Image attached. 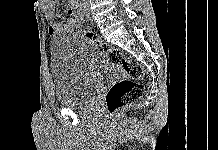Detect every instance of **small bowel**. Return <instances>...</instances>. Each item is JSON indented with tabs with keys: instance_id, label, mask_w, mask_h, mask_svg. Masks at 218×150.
Returning <instances> with one entry per match:
<instances>
[{
	"instance_id": "small-bowel-1",
	"label": "small bowel",
	"mask_w": 218,
	"mask_h": 150,
	"mask_svg": "<svg viewBox=\"0 0 218 150\" xmlns=\"http://www.w3.org/2000/svg\"><path fill=\"white\" fill-rule=\"evenodd\" d=\"M42 9L44 15L47 19L51 20L48 26V32L50 35H56L60 33H65L70 31L69 26L67 23H57L52 21L56 14V3L57 0H42ZM67 11L68 13L72 14L76 11V3L75 0H68L67 3Z\"/></svg>"
}]
</instances>
